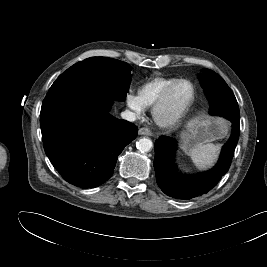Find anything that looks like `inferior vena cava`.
<instances>
[{
  "label": "inferior vena cava",
  "mask_w": 267,
  "mask_h": 267,
  "mask_svg": "<svg viewBox=\"0 0 267 267\" xmlns=\"http://www.w3.org/2000/svg\"><path fill=\"white\" fill-rule=\"evenodd\" d=\"M121 117L127 121L133 122L136 120V115L134 112L130 111V110H126L124 112L121 113Z\"/></svg>",
  "instance_id": "1"
}]
</instances>
